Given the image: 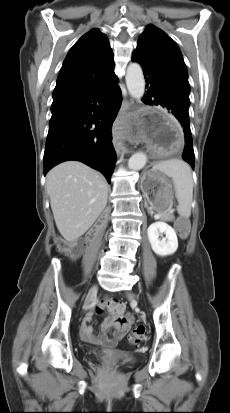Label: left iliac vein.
I'll return each mask as SVG.
<instances>
[{
  "label": "left iliac vein",
  "instance_id": "left-iliac-vein-1",
  "mask_svg": "<svg viewBox=\"0 0 230 413\" xmlns=\"http://www.w3.org/2000/svg\"><path fill=\"white\" fill-rule=\"evenodd\" d=\"M129 296H130L131 298L133 297V295H132V294H130Z\"/></svg>",
  "mask_w": 230,
  "mask_h": 413
}]
</instances>
